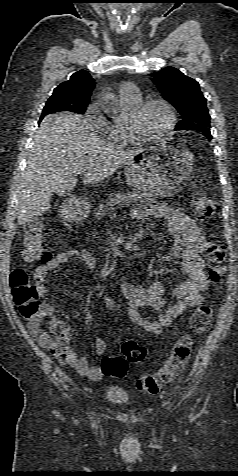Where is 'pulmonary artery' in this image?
<instances>
[{
  "label": "pulmonary artery",
  "instance_id": "pulmonary-artery-1",
  "mask_svg": "<svg viewBox=\"0 0 238 476\" xmlns=\"http://www.w3.org/2000/svg\"><path fill=\"white\" fill-rule=\"evenodd\" d=\"M120 94L129 96V97H138L140 96L139 89L136 85L132 83H125L120 88Z\"/></svg>",
  "mask_w": 238,
  "mask_h": 476
}]
</instances>
